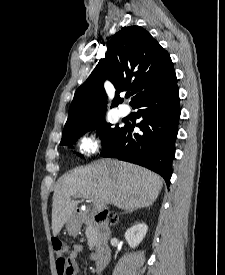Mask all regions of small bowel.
Returning a JSON list of instances; mask_svg holds the SVG:
<instances>
[{
    "label": "small bowel",
    "instance_id": "c3829d8e",
    "mask_svg": "<svg viewBox=\"0 0 225 275\" xmlns=\"http://www.w3.org/2000/svg\"><path fill=\"white\" fill-rule=\"evenodd\" d=\"M83 250V246L81 244H77L74 246L72 252L69 254L68 262L71 267L70 275H76L79 269L78 259L80 253Z\"/></svg>",
    "mask_w": 225,
    "mask_h": 275
}]
</instances>
